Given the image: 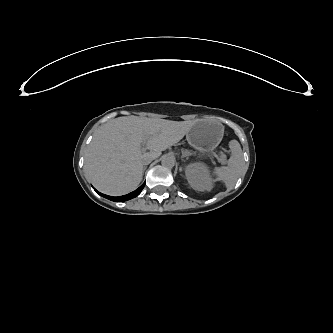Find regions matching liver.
Returning <instances> with one entry per match:
<instances>
[{
	"instance_id": "obj_1",
	"label": "liver",
	"mask_w": 333,
	"mask_h": 333,
	"mask_svg": "<svg viewBox=\"0 0 333 333\" xmlns=\"http://www.w3.org/2000/svg\"><path fill=\"white\" fill-rule=\"evenodd\" d=\"M161 126V122L146 119L140 131L145 135L95 137L85 156V169L91 183L107 194L135 190L143 178V159L157 158L161 151L183 138L180 134L161 133Z\"/></svg>"
}]
</instances>
